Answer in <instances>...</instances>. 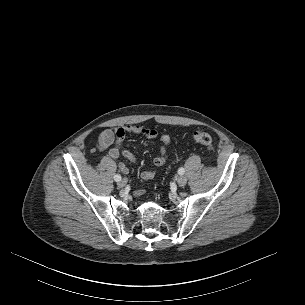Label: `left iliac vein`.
Returning a JSON list of instances; mask_svg holds the SVG:
<instances>
[{"instance_id":"obj_1","label":"left iliac vein","mask_w":305,"mask_h":305,"mask_svg":"<svg viewBox=\"0 0 305 305\" xmlns=\"http://www.w3.org/2000/svg\"><path fill=\"white\" fill-rule=\"evenodd\" d=\"M186 183H187V178H186L185 176L180 175V176L177 178V184H178V186L183 187V186L186 185Z\"/></svg>"}]
</instances>
